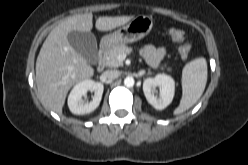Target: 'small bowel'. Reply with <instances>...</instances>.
<instances>
[{"mask_svg":"<svg viewBox=\"0 0 248 165\" xmlns=\"http://www.w3.org/2000/svg\"><path fill=\"white\" fill-rule=\"evenodd\" d=\"M141 53L150 65L156 66L165 56L166 50L164 48H156L153 45L147 44L142 47Z\"/></svg>","mask_w":248,"mask_h":165,"instance_id":"1","label":"small bowel"}]
</instances>
